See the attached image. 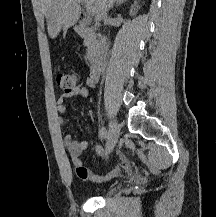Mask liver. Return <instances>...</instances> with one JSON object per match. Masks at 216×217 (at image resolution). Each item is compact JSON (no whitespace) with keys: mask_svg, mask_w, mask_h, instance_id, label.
<instances>
[{"mask_svg":"<svg viewBox=\"0 0 216 217\" xmlns=\"http://www.w3.org/2000/svg\"><path fill=\"white\" fill-rule=\"evenodd\" d=\"M91 7L96 21L106 17L108 4L121 3L123 0H84ZM81 0H44L43 10L47 20V30L54 39L61 30L66 31L74 25L81 15ZM113 6V5H112Z\"/></svg>","mask_w":216,"mask_h":217,"instance_id":"liver-1","label":"liver"}]
</instances>
